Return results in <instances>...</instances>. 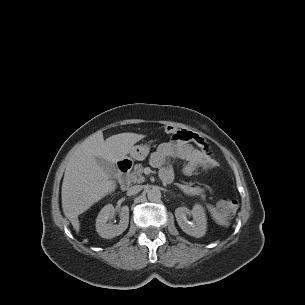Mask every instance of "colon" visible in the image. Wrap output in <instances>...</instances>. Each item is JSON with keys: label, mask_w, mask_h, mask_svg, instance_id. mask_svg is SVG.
Wrapping results in <instances>:
<instances>
[{"label": "colon", "mask_w": 305, "mask_h": 305, "mask_svg": "<svg viewBox=\"0 0 305 305\" xmlns=\"http://www.w3.org/2000/svg\"><path fill=\"white\" fill-rule=\"evenodd\" d=\"M167 134H173V137H185L183 130H179L174 126L168 125L164 127ZM238 201L232 197H223L218 202V208L226 217H233L238 209Z\"/></svg>", "instance_id": "5ec220e1"}]
</instances>
